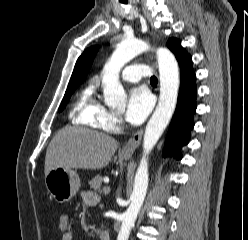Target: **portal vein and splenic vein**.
I'll return each instance as SVG.
<instances>
[{
    "instance_id": "1",
    "label": "portal vein and splenic vein",
    "mask_w": 248,
    "mask_h": 240,
    "mask_svg": "<svg viewBox=\"0 0 248 240\" xmlns=\"http://www.w3.org/2000/svg\"><path fill=\"white\" fill-rule=\"evenodd\" d=\"M103 193H104V194H109V193H110V187H109V186H105V187L103 188Z\"/></svg>"
}]
</instances>
